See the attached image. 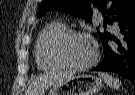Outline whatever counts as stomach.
Wrapping results in <instances>:
<instances>
[{
  "label": "stomach",
  "instance_id": "0dacf381",
  "mask_svg": "<svg viewBox=\"0 0 135 95\" xmlns=\"http://www.w3.org/2000/svg\"><path fill=\"white\" fill-rule=\"evenodd\" d=\"M101 87L102 80L99 77L78 74L54 85L48 95H94Z\"/></svg>",
  "mask_w": 135,
  "mask_h": 95
}]
</instances>
